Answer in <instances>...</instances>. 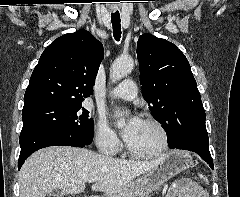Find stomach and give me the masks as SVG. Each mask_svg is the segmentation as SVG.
<instances>
[{
  "label": "stomach",
  "mask_w": 240,
  "mask_h": 197,
  "mask_svg": "<svg viewBox=\"0 0 240 197\" xmlns=\"http://www.w3.org/2000/svg\"><path fill=\"white\" fill-rule=\"evenodd\" d=\"M192 166L193 158L188 152L171 151L164 156L158 166L131 181L119 193L110 197H144L150 192L159 189L173 176Z\"/></svg>",
  "instance_id": "stomach-1"
}]
</instances>
